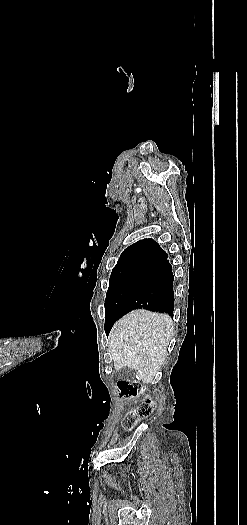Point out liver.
Here are the masks:
<instances>
[{"label":"liver","instance_id":"1","mask_svg":"<svg viewBox=\"0 0 247 525\" xmlns=\"http://www.w3.org/2000/svg\"><path fill=\"white\" fill-rule=\"evenodd\" d=\"M169 315L136 309L116 321L110 331L109 353L115 371L134 369L143 383H153L173 337Z\"/></svg>","mask_w":247,"mask_h":525}]
</instances>
